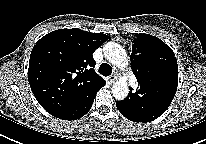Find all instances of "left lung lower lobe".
Returning <instances> with one entry per match:
<instances>
[{
	"mask_svg": "<svg viewBox=\"0 0 206 144\" xmlns=\"http://www.w3.org/2000/svg\"><path fill=\"white\" fill-rule=\"evenodd\" d=\"M144 88L135 93L130 92L129 96L122 101H117V109L123 116L134 122H151L162 115L168 108L163 97L152 98L144 92ZM134 101L139 109L133 111L131 102Z\"/></svg>",
	"mask_w": 206,
	"mask_h": 144,
	"instance_id": "left-lung-lower-lobe-1",
	"label": "left lung lower lobe"
}]
</instances>
